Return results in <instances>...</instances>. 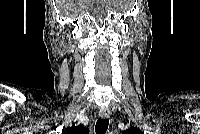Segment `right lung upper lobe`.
<instances>
[{
  "label": "right lung upper lobe",
  "instance_id": "obj_1",
  "mask_svg": "<svg viewBox=\"0 0 200 134\" xmlns=\"http://www.w3.org/2000/svg\"><path fill=\"white\" fill-rule=\"evenodd\" d=\"M87 133L88 130L83 126H77V127L74 126L66 131V134H87Z\"/></svg>",
  "mask_w": 200,
  "mask_h": 134
}]
</instances>
